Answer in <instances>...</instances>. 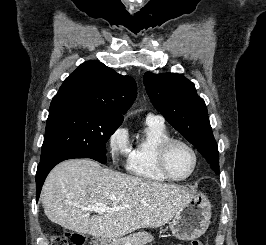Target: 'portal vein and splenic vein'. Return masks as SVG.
I'll return each mask as SVG.
<instances>
[{
    "instance_id": "obj_1",
    "label": "portal vein and splenic vein",
    "mask_w": 266,
    "mask_h": 245,
    "mask_svg": "<svg viewBox=\"0 0 266 245\" xmlns=\"http://www.w3.org/2000/svg\"><path fill=\"white\" fill-rule=\"evenodd\" d=\"M129 207V205H126ZM80 209H84V211H95V213H106V211H120V209H109L107 205H102V203H95V205H88V207H80ZM125 209V207H122ZM125 245H131L129 241H125Z\"/></svg>"
}]
</instances>
